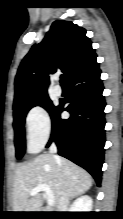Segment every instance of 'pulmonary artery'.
Returning a JSON list of instances; mask_svg holds the SVG:
<instances>
[{"label":"pulmonary artery","instance_id":"pulmonary-artery-1","mask_svg":"<svg viewBox=\"0 0 123 219\" xmlns=\"http://www.w3.org/2000/svg\"><path fill=\"white\" fill-rule=\"evenodd\" d=\"M54 93L56 94V95H61L62 94V88L59 86V85H56L55 87H54Z\"/></svg>","mask_w":123,"mask_h":219}]
</instances>
